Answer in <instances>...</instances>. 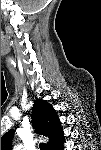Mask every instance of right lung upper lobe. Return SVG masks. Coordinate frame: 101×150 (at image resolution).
<instances>
[{
	"mask_svg": "<svg viewBox=\"0 0 101 150\" xmlns=\"http://www.w3.org/2000/svg\"><path fill=\"white\" fill-rule=\"evenodd\" d=\"M32 123L37 133L49 138V150H57L63 142V131L55 110L45 101L37 99L32 107ZM14 131L11 129L1 138V150H11Z\"/></svg>",
	"mask_w": 101,
	"mask_h": 150,
	"instance_id": "right-lung-upper-lobe-1",
	"label": "right lung upper lobe"
}]
</instances>
